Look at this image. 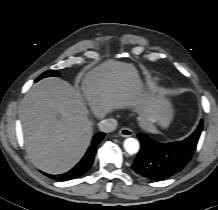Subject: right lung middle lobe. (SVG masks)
I'll return each instance as SVG.
<instances>
[{
	"label": "right lung middle lobe",
	"instance_id": "dd1d6c3e",
	"mask_svg": "<svg viewBox=\"0 0 218 210\" xmlns=\"http://www.w3.org/2000/svg\"><path fill=\"white\" fill-rule=\"evenodd\" d=\"M51 76H59V73L55 70L46 71L37 78V81L42 79V78L51 77Z\"/></svg>",
	"mask_w": 218,
	"mask_h": 210
}]
</instances>
